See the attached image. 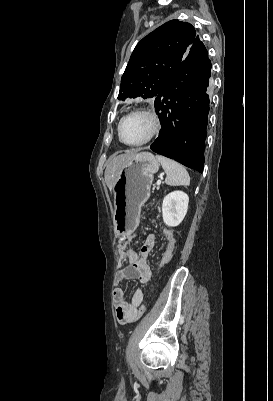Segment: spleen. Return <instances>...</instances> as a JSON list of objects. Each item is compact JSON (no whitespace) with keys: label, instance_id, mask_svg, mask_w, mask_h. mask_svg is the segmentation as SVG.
Returning a JSON list of instances; mask_svg holds the SVG:
<instances>
[{"label":"spleen","instance_id":"spleen-1","mask_svg":"<svg viewBox=\"0 0 273 401\" xmlns=\"http://www.w3.org/2000/svg\"><path fill=\"white\" fill-rule=\"evenodd\" d=\"M156 158L161 162L162 168L167 174L165 178L166 184H172V186L190 184V176L182 164L171 160V158H166V156H161V154H156Z\"/></svg>","mask_w":273,"mask_h":401}]
</instances>
